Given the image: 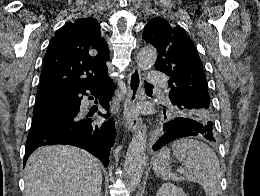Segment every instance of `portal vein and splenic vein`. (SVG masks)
Segmentation results:
<instances>
[{"label":"portal vein and splenic vein","mask_w":260,"mask_h":196,"mask_svg":"<svg viewBox=\"0 0 260 196\" xmlns=\"http://www.w3.org/2000/svg\"><path fill=\"white\" fill-rule=\"evenodd\" d=\"M180 174H185V170H179Z\"/></svg>","instance_id":"portal-vein-and-splenic-vein-1"}]
</instances>
